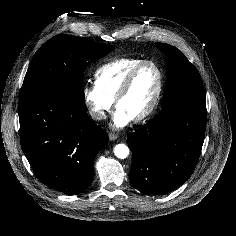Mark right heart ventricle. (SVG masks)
<instances>
[{
  "mask_svg": "<svg viewBox=\"0 0 236 236\" xmlns=\"http://www.w3.org/2000/svg\"><path fill=\"white\" fill-rule=\"evenodd\" d=\"M144 59L129 57L110 61L95 72V83L102 92L114 100L129 72Z\"/></svg>",
  "mask_w": 236,
  "mask_h": 236,
  "instance_id": "obj_1",
  "label": "right heart ventricle"
}]
</instances>
